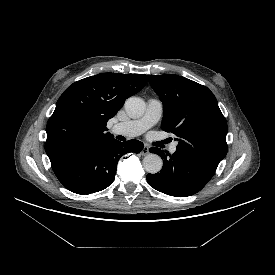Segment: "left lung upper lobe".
Wrapping results in <instances>:
<instances>
[{"label":"left lung upper lobe","mask_w":275,"mask_h":275,"mask_svg":"<svg viewBox=\"0 0 275 275\" xmlns=\"http://www.w3.org/2000/svg\"><path fill=\"white\" fill-rule=\"evenodd\" d=\"M149 83L163 102L162 130L174 133L176 151L217 168L227 154V122L213 93L185 77L150 75Z\"/></svg>","instance_id":"1"}]
</instances>
